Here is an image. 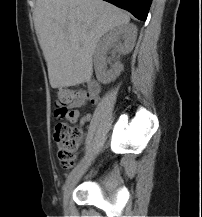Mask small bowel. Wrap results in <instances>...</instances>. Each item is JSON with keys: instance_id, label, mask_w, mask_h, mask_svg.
Returning a JSON list of instances; mask_svg holds the SVG:
<instances>
[{"instance_id": "obj_1", "label": "small bowel", "mask_w": 202, "mask_h": 217, "mask_svg": "<svg viewBox=\"0 0 202 217\" xmlns=\"http://www.w3.org/2000/svg\"><path fill=\"white\" fill-rule=\"evenodd\" d=\"M88 97L92 104H95L98 100V93L97 94H90L88 93ZM85 106V101L78 103L75 105L71 111L69 116L70 121L76 122L80 118V124L83 125L91 119L90 113H85L83 115L80 114L79 109Z\"/></svg>"}]
</instances>
